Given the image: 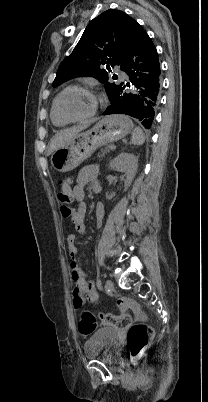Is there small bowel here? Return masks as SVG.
I'll return each mask as SVG.
<instances>
[{"mask_svg": "<svg viewBox=\"0 0 208 402\" xmlns=\"http://www.w3.org/2000/svg\"><path fill=\"white\" fill-rule=\"evenodd\" d=\"M97 173L98 169L94 165L83 167L77 175L76 185L74 186L73 193L76 201L79 202L78 208L75 210L76 219L74 221L75 229L79 233L85 232L84 226V216L86 213V206L83 201L85 198L84 188L88 183L94 184V190L98 185L97 183ZM103 206L99 205L96 210V217L98 225L101 224L103 218ZM67 243L69 248V255L71 258L75 259L77 256V249L75 247V235L69 234L67 237ZM73 269V279H74V303L75 305H81L86 299L90 302H97L99 300V294L96 288V284L93 281H87L84 273L78 267L76 261L72 262Z\"/></svg>", "mask_w": 208, "mask_h": 402, "instance_id": "obj_1", "label": "small bowel"}]
</instances>
